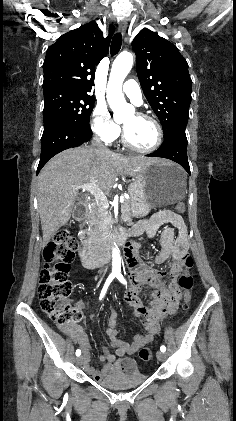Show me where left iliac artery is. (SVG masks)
Instances as JSON below:
<instances>
[{
	"mask_svg": "<svg viewBox=\"0 0 236 421\" xmlns=\"http://www.w3.org/2000/svg\"><path fill=\"white\" fill-rule=\"evenodd\" d=\"M116 277H117V279L122 283V284H124V285H127V281L124 279V277H123V275L121 274V273H117L116 274ZM160 350L162 351V352H165L166 351V347L164 346V345H162L161 347H160Z\"/></svg>",
	"mask_w": 236,
	"mask_h": 421,
	"instance_id": "left-iliac-artery-1",
	"label": "left iliac artery"
}]
</instances>
